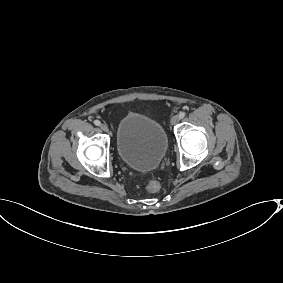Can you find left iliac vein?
I'll return each mask as SVG.
<instances>
[{"instance_id":"left-iliac-vein-1","label":"left iliac vein","mask_w":283,"mask_h":283,"mask_svg":"<svg viewBox=\"0 0 283 283\" xmlns=\"http://www.w3.org/2000/svg\"><path fill=\"white\" fill-rule=\"evenodd\" d=\"M179 120H180L179 116L178 115H174L171 118L170 123H171V125H175V124H177L179 122Z\"/></svg>"}]
</instances>
